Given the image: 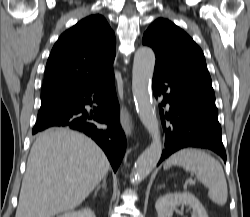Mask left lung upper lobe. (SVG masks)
Listing matches in <instances>:
<instances>
[{"instance_id": "1", "label": "left lung upper lobe", "mask_w": 250, "mask_h": 217, "mask_svg": "<svg viewBox=\"0 0 250 217\" xmlns=\"http://www.w3.org/2000/svg\"><path fill=\"white\" fill-rule=\"evenodd\" d=\"M143 44L155 52V70L173 77L211 82L201 48L171 21H154L144 33Z\"/></svg>"}]
</instances>
